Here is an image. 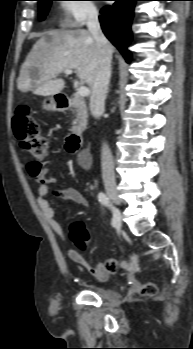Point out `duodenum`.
Listing matches in <instances>:
<instances>
[{
  "mask_svg": "<svg viewBox=\"0 0 193 349\" xmlns=\"http://www.w3.org/2000/svg\"><path fill=\"white\" fill-rule=\"evenodd\" d=\"M56 102L60 109H67L73 105L71 97L57 96ZM81 143L82 134L79 132H73L67 137L65 146L69 153L75 155L79 152Z\"/></svg>",
  "mask_w": 193,
  "mask_h": 349,
  "instance_id": "obj_1",
  "label": "duodenum"
}]
</instances>
